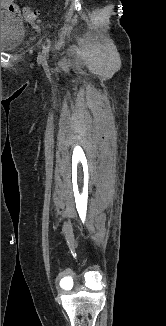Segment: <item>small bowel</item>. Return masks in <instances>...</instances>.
<instances>
[{
  "mask_svg": "<svg viewBox=\"0 0 166 326\" xmlns=\"http://www.w3.org/2000/svg\"><path fill=\"white\" fill-rule=\"evenodd\" d=\"M1 8L12 11L16 14L20 13V8L15 3V0H1Z\"/></svg>",
  "mask_w": 166,
  "mask_h": 326,
  "instance_id": "c3829d8e",
  "label": "small bowel"
}]
</instances>
